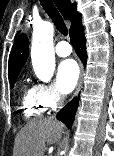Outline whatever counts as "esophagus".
Here are the masks:
<instances>
[{
    "instance_id": "34e87169",
    "label": "esophagus",
    "mask_w": 114,
    "mask_h": 156,
    "mask_svg": "<svg viewBox=\"0 0 114 156\" xmlns=\"http://www.w3.org/2000/svg\"><path fill=\"white\" fill-rule=\"evenodd\" d=\"M83 73H84V68H83V65L81 64L80 77H79V81H78L77 88H76V91H75V96L78 95L79 90H80V88H81V86H82Z\"/></svg>"
}]
</instances>
